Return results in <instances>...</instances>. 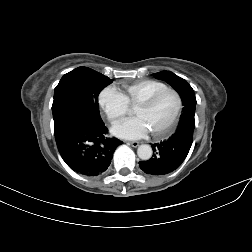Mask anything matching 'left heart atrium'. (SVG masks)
<instances>
[{
	"label": "left heart atrium",
	"instance_id": "1",
	"mask_svg": "<svg viewBox=\"0 0 252 252\" xmlns=\"http://www.w3.org/2000/svg\"><path fill=\"white\" fill-rule=\"evenodd\" d=\"M149 129L141 117L125 119L112 128V133L126 139H137L145 136Z\"/></svg>",
	"mask_w": 252,
	"mask_h": 252
}]
</instances>
